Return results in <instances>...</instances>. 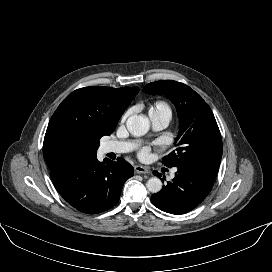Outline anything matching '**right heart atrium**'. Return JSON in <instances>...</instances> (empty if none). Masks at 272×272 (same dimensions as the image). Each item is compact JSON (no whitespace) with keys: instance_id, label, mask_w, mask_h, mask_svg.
I'll list each match as a JSON object with an SVG mask.
<instances>
[{"instance_id":"obj_1","label":"right heart atrium","mask_w":272,"mask_h":272,"mask_svg":"<svg viewBox=\"0 0 272 272\" xmlns=\"http://www.w3.org/2000/svg\"><path fill=\"white\" fill-rule=\"evenodd\" d=\"M128 112H126L123 116H122V118H121V122H125V120H126V118L128 117Z\"/></svg>"}]
</instances>
